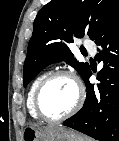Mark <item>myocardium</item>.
Segmentation results:
<instances>
[{"label": "myocardium", "instance_id": "obj_1", "mask_svg": "<svg viewBox=\"0 0 119 141\" xmlns=\"http://www.w3.org/2000/svg\"><path fill=\"white\" fill-rule=\"evenodd\" d=\"M62 76L68 77L74 83L75 88H76V100H75L74 105L66 113L62 114L61 116L55 117V118H50L44 115V113L42 112L40 108V96H41L43 89L50 81H52L53 79L57 77H62ZM84 98H85L84 88L79 78L77 77V75L74 72L69 71V70H57V71L49 73L40 82V84L38 85L34 93L33 106H34V110L38 118L44 121H47V122H58V121H63L73 116L75 113H77L84 102Z\"/></svg>", "mask_w": 119, "mask_h": 141}]
</instances>
